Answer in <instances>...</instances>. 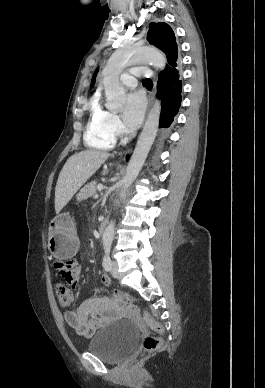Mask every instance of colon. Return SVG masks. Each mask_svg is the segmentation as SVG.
Wrapping results in <instances>:
<instances>
[{
  "label": "colon",
  "mask_w": 265,
  "mask_h": 388,
  "mask_svg": "<svg viewBox=\"0 0 265 388\" xmlns=\"http://www.w3.org/2000/svg\"><path fill=\"white\" fill-rule=\"evenodd\" d=\"M56 293H57V298L60 306L67 308L71 306L73 302V294L71 289L66 286L65 284L59 283L56 285ZM113 300L116 302L122 303L124 301L126 302H139V299L136 297L132 296L131 294L127 292H123L120 290H114L112 293ZM144 322L157 334L163 335L164 334V326L157 322L153 316L151 315L149 310L144 311V316H143ZM162 343V338L161 337H156V336H147L145 337L143 341V346L145 350L147 351H154L159 348V346Z\"/></svg>",
  "instance_id": "5ec220e1"
}]
</instances>
